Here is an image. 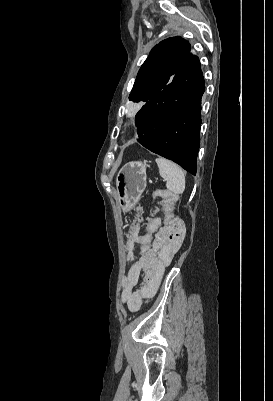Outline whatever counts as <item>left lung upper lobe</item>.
I'll list each match as a JSON object with an SVG mask.
<instances>
[{"instance_id": "obj_1", "label": "left lung upper lobe", "mask_w": 273, "mask_h": 401, "mask_svg": "<svg viewBox=\"0 0 273 401\" xmlns=\"http://www.w3.org/2000/svg\"><path fill=\"white\" fill-rule=\"evenodd\" d=\"M190 44L181 37L161 41L141 66L129 100L148 102L171 81L173 75L190 54Z\"/></svg>"}]
</instances>
